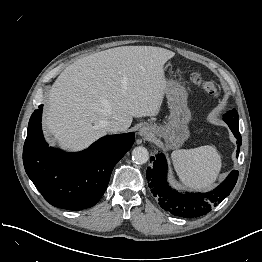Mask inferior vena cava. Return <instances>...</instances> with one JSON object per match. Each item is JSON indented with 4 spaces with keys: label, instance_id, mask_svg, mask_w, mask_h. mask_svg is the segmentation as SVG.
Here are the masks:
<instances>
[{
    "label": "inferior vena cava",
    "instance_id": "602c4592",
    "mask_svg": "<svg viewBox=\"0 0 262 262\" xmlns=\"http://www.w3.org/2000/svg\"><path fill=\"white\" fill-rule=\"evenodd\" d=\"M104 127L108 132H122L127 129L126 125L117 120H110L106 122Z\"/></svg>",
    "mask_w": 262,
    "mask_h": 262
}]
</instances>
